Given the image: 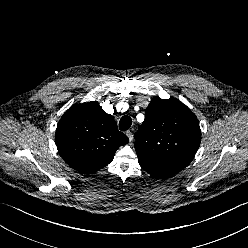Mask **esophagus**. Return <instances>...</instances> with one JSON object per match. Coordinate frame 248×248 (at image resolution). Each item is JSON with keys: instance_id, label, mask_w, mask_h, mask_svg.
Listing matches in <instances>:
<instances>
[{"instance_id": "34e87169", "label": "esophagus", "mask_w": 248, "mask_h": 248, "mask_svg": "<svg viewBox=\"0 0 248 248\" xmlns=\"http://www.w3.org/2000/svg\"><path fill=\"white\" fill-rule=\"evenodd\" d=\"M126 135H127L128 139H129V141L132 142V140H133V134H132V132L131 131H127L126 132Z\"/></svg>"}]
</instances>
